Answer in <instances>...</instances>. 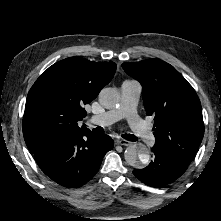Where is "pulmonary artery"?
I'll return each instance as SVG.
<instances>
[{
	"mask_svg": "<svg viewBox=\"0 0 221 221\" xmlns=\"http://www.w3.org/2000/svg\"><path fill=\"white\" fill-rule=\"evenodd\" d=\"M121 103L118 108L92 115L88 122L97 126H107L122 118H126L134 134L144 143L150 144L153 133L146 123L136 114V107L141 94V85L137 81L125 80L121 87Z\"/></svg>",
	"mask_w": 221,
	"mask_h": 221,
	"instance_id": "pulmonary-artery-1",
	"label": "pulmonary artery"
}]
</instances>
